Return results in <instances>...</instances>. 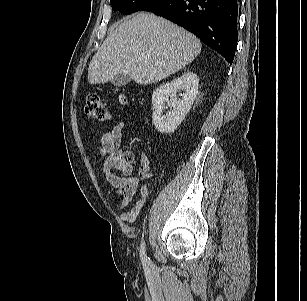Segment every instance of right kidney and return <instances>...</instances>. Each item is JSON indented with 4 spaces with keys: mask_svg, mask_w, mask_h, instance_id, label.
<instances>
[{
    "mask_svg": "<svg viewBox=\"0 0 307 301\" xmlns=\"http://www.w3.org/2000/svg\"><path fill=\"white\" fill-rule=\"evenodd\" d=\"M199 78L193 72H186L171 82L163 83L153 91L152 120L160 133H171L176 130L189 112L198 93ZM178 90H182V99L177 98ZM170 107L166 116L162 115L165 104Z\"/></svg>",
    "mask_w": 307,
    "mask_h": 301,
    "instance_id": "obj_1",
    "label": "right kidney"
}]
</instances>
